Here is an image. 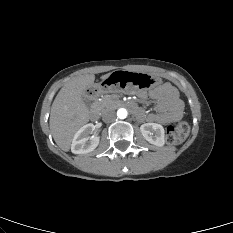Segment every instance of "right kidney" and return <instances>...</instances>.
Masks as SVG:
<instances>
[{"mask_svg": "<svg viewBox=\"0 0 233 233\" xmlns=\"http://www.w3.org/2000/svg\"><path fill=\"white\" fill-rule=\"evenodd\" d=\"M93 124H86L81 127L74 135L71 151L74 154H86L93 151L99 144L98 136H89L91 131H93Z\"/></svg>", "mask_w": 233, "mask_h": 233, "instance_id": "1", "label": "right kidney"}]
</instances>
